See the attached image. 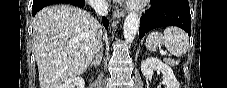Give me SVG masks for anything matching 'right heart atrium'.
Returning a JSON list of instances; mask_svg holds the SVG:
<instances>
[{
  "instance_id": "right-heart-atrium-1",
  "label": "right heart atrium",
  "mask_w": 227,
  "mask_h": 88,
  "mask_svg": "<svg viewBox=\"0 0 227 88\" xmlns=\"http://www.w3.org/2000/svg\"><path fill=\"white\" fill-rule=\"evenodd\" d=\"M87 3L93 8H99L103 5L104 1L102 0H87Z\"/></svg>"
}]
</instances>
